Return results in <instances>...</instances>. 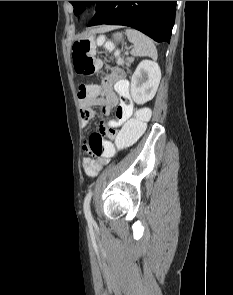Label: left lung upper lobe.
<instances>
[{
    "instance_id": "left-lung-upper-lobe-1",
    "label": "left lung upper lobe",
    "mask_w": 233,
    "mask_h": 295,
    "mask_svg": "<svg viewBox=\"0 0 233 295\" xmlns=\"http://www.w3.org/2000/svg\"><path fill=\"white\" fill-rule=\"evenodd\" d=\"M73 7H74V14L78 15L79 12H81L83 10V8L90 3H97V7L99 6V4L101 3V1H69ZM96 7V9H97Z\"/></svg>"
}]
</instances>
